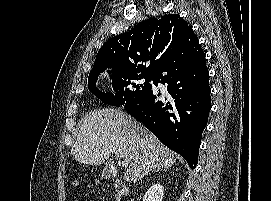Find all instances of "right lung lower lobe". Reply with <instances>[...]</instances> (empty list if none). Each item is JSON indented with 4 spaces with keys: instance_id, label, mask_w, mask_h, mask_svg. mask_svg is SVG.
Instances as JSON below:
<instances>
[{
    "instance_id": "98d812e1",
    "label": "right lung lower lobe",
    "mask_w": 271,
    "mask_h": 201,
    "mask_svg": "<svg viewBox=\"0 0 271 201\" xmlns=\"http://www.w3.org/2000/svg\"><path fill=\"white\" fill-rule=\"evenodd\" d=\"M205 53L196 38H184L178 50L154 74V84H167V94L151 89L126 102L125 110L142 122L169 149L194 169L211 109Z\"/></svg>"
}]
</instances>
